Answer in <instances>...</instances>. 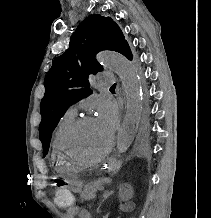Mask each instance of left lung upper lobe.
I'll return each instance as SVG.
<instances>
[{"label": "left lung upper lobe", "instance_id": "1", "mask_svg": "<svg viewBox=\"0 0 211 218\" xmlns=\"http://www.w3.org/2000/svg\"><path fill=\"white\" fill-rule=\"evenodd\" d=\"M102 50L116 51L132 60L119 26L110 17L94 14L79 24L69 48L54 59L44 81L45 95L40 105L39 138L44 156L49 149L51 134L67 108L92 93L90 76L103 69L95 59Z\"/></svg>", "mask_w": 211, "mask_h": 218}]
</instances>
